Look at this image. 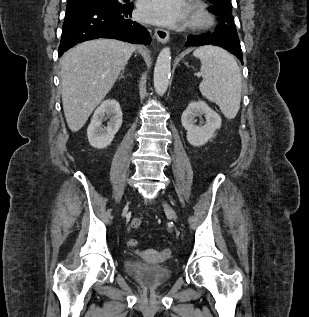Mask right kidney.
Wrapping results in <instances>:
<instances>
[{
  "instance_id": "ca27d5eb",
  "label": "right kidney",
  "mask_w": 309,
  "mask_h": 317,
  "mask_svg": "<svg viewBox=\"0 0 309 317\" xmlns=\"http://www.w3.org/2000/svg\"><path fill=\"white\" fill-rule=\"evenodd\" d=\"M109 118L107 127H102V121ZM122 125V111L114 99H107L95 110L87 128V136L92 147L103 149L111 144L115 134Z\"/></svg>"
}]
</instances>
